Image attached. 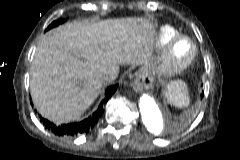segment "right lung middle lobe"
Wrapping results in <instances>:
<instances>
[{"label": "right lung middle lobe", "mask_w": 240, "mask_h": 160, "mask_svg": "<svg viewBox=\"0 0 240 160\" xmlns=\"http://www.w3.org/2000/svg\"><path fill=\"white\" fill-rule=\"evenodd\" d=\"M60 23H63V20L54 21V22H52V23L47 27L46 30H49V29H51L52 27H55V26L59 25Z\"/></svg>", "instance_id": "1"}]
</instances>
